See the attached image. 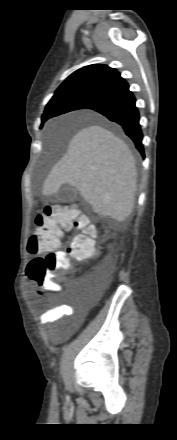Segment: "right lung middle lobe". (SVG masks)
Here are the masks:
<instances>
[{
	"label": "right lung middle lobe",
	"mask_w": 177,
	"mask_h": 440,
	"mask_svg": "<svg viewBox=\"0 0 177 440\" xmlns=\"http://www.w3.org/2000/svg\"><path fill=\"white\" fill-rule=\"evenodd\" d=\"M93 101H95L93 97L77 92H65L54 95L46 106L42 122L63 113L84 109Z\"/></svg>",
	"instance_id": "1"
}]
</instances>
